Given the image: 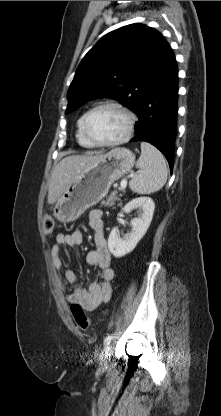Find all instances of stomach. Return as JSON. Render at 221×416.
Listing matches in <instances>:
<instances>
[{
    "label": "stomach",
    "mask_w": 221,
    "mask_h": 416,
    "mask_svg": "<svg viewBox=\"0 0 221 416\" xmlns=\"http://www.w3.org/2000/svg\"><path fill=\"white\" fill-rule=\"evenodd\" d=\"M135 155L127 148H114L79 173L58 199L53 216L60 222L76 220L101 201L111 185L131 170Z\"/></svg>",
    "instance_id": "1"
}]
</instances>
